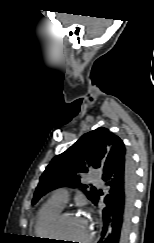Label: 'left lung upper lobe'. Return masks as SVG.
Instances as JSON below:
<instances>
[{"mask_svg":"<svg viewBox=\"0 0 154 243\" xmlns=\"http://www.w3.org/2000/svg\"><path fill=\"white\" fill-rule=\"evenodd\" d=\"M124 149L122 140L100 127L84 134L69 149L55 156L40 177L34 193L32 204L47 192L63 186H81L87 198L92 202L98 189L90 185L80 184V174L89 168L102 169L107 157Z\"/></svg>","mask_w":154,"mask_h":243,"instance_id":"obj_1","label":"left lung upper lobe"}]
</instances>
